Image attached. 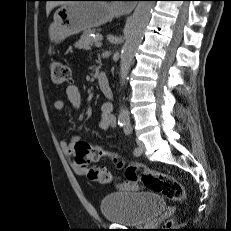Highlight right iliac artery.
<instances>
[{
  "label": "right iliac artery",
  "mask_w": 231,
  "mask_h": 231,
  "mask_svg": "<svg viewBox=\"0 0 231 231\" xmlns=\"http://www.w3.org/2000/svg\"><path fill=\"white\" fill-rule=\"evenodd\" d=\"M118 124L122 127L126 124L125 120L118 121Z\"/></svg>",
  "instance_id": "82829eb1"
}]
</instances>
